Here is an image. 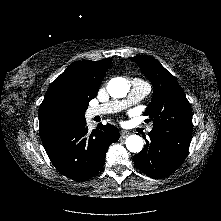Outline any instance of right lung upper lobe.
Returning a JSON list of instances; mask_svg holds the SVG:
<instances>
[{
    "instance_id": "right-lung-upper-lobe-1",
    "label": "right lung upper lobe",
    "mask_w": 221,
    "mask_h": 221,
    "mask_svg": "<svg viewBox=\"0 0 221 221\" xmlns=\"http://www.w3.org/2000/svg\"><path fill=\"white\" fill-rule=\"evenodd\" d=\"M110 65V58L72 63L49 86L39 108L43 145L85 119L86 103L93 99Z\"/></svg>"
}]
</instances>
